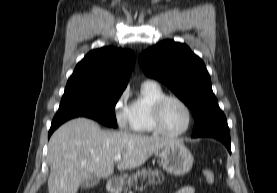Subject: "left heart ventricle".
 Here are the masks:
<instances>
[{
  "label": "left heart ventricle",
  "mask_w": 277,
  "mask_h": 193,
  "mask_svg": "<svg viewBox=\"0 0 277 193\" xmlns=\"http://www.w3.org/2000/svg\"><path fill=\"white\" fill-rule=\"evenodd\" d=\"M187 112L175 100H168L162 109V121L166 130L176 132L182 130L187 124Z\"/></svg>",
  "instance_id": "left-heart-ventricle-1"
}]
</instances>
